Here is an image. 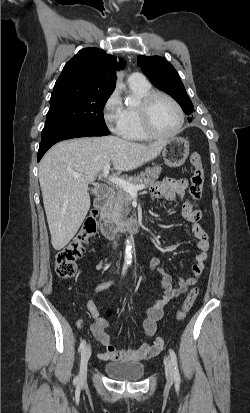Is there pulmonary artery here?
Segmentation results:
<instances>
[{
  "label": "pulmonary artery",
  "mask_w": 250,
  "mask_h": 413,
  "mask_svg": "<svg viewBox=\"0 0 250 413\" xmlns=\"http://www.w3.org/2000/svg\"><path fill=\"white\" fill-rule=\"evenodd\" d=\"M128 83L129 85L141 86V85L147 84L148 82L146 81V78L141 73H132L128 77Z\"/></svg>",
  "instance_id": "pulmonary-artery-1"
}]
</instances>
